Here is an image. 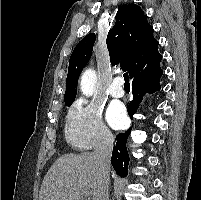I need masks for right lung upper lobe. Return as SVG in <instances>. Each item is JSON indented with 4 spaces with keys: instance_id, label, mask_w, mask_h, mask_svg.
I'll use <instances>...</instances> for the list:
<instances>
[{
    "instance_id": "1",
    "label": "right lung upper lobe",
    "mask_w": 201,
    "mask_h": 200,
    "mask_svg": "<svg viewBox=\"0 0 201 200\" xmlns=\"http://www.w3.org/2000/svg\"><path fill=\"white\" fill-rule=\"evenodd\" d=\"M94 42L95 34L90 33L75 47L69 60L64 101L75 99L78 78L91 58ZM106 43L110 61L120 63L131 79L160 64L162 58L157 50L158 41L153 37V27L135 4L119 7L116 23L108 32Z\"/></svg>"
}]
</instances>
